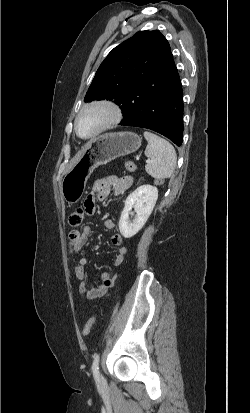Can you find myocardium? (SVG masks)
Segmentation results:
<instances>
[{
	"label": "myocardium",
	"instance_id": "myocardium-1",
	"mask_svg": "<svg viewBox=\"0 0 250 413\" xmlns=\"http://www.w3.org/2000/svg\"><path fill=\"white\" fill-rule=\"evenodd\" d=\"M93 108L105 109L109 112L110 116L95 132H93L90 135L83 136L80 134L79 129H78L79 119L85 111L89 109H93ZM122 119H123V111L119 104H117L115 101L111 99H97V100H93L91 102L86 103L79 110L74 120V130H75L76 135L80 139H84V140L92 139L116 127L122 121Z\"/></svg>",
	"mask_w": 250,
	"mask_h": 413
}]
</instances>
